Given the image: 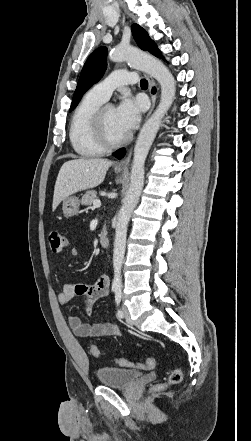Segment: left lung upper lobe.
<instances>
[{
	"mask_svg": "<svg viewBox=\"0 0 251 441\" xmlns=\"http://www.w3.org/2000/svg\"><path fill=\"white\" fill-rule=\"evenodd\" d=\"M133 37L137 45L145 51H149L156 57H162L161 52L157 48L153 40L150 39L148 33L138 24H133L131 27ZM107 48H97L87 59L84 64L80 78L73 95L70 111H72L81 100L83 94L92 87L103 76L107 63Z\"/></svg>",
	"mask_w": 251,
	"mask_h": 441,
	"instance_id": "5c2ea615",
	"label": "left lung upper lobe"
}]
</instances>
